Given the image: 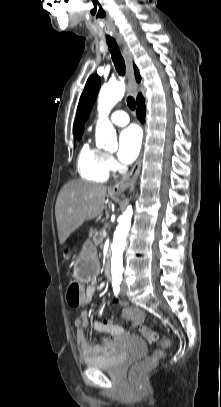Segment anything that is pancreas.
<instances>
[{"label":"pancreas","mask_w":221,"mask_h":407,"mask_svg":"<svg viewBox=\"0 0 221 407\" xmlns=\"http://www.w3.org/2000/svg\"><path fill=\"white\" fill-rule=\"evenodd\" d=\"M103 233H104V230L97 232V234H96L97 237H95L93 239L95 245H99L100 247L103 246V239H104Z\"/></svg>","instance_id":"pancreas-1"}]
</instances>
